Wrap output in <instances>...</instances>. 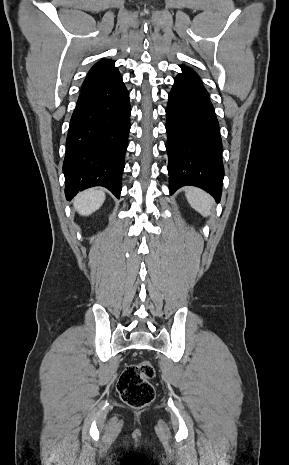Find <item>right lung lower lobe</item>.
<instances>
[{"label":"right lung lower lobe","instance_id":"obj_1","mask_svg":"<svg viewBox=\"0 0 289 465\" xmlns=\"http://www.w3.org/2000/svg\"><path fill=\"white\" fill-rule=\"evenodd\" d=\"M130 113L129 93L121 77L107 86L81 91L66 139L67 200L93 186L106 187L120 197Z\"/></svg>","mask_w":289,"mask_h":465}]
</instances>
